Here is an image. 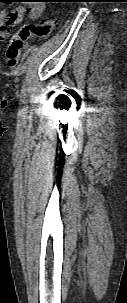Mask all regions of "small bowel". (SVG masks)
Returning a JSON list of instances; mask_svg holds the SVG:
<instances>
[{"label":"small bowel","instance_id":"c3829d8e","mask_svg":"<svg viewBox=\"0 0 127 303\" xmlns=\"http://www.w3.org/2000/svg\"><path fill=\"white\" fill-rule=\"evenodd\" d=\"M27 6H19L16 10L11 12L0 13V40L8 38L10 35V28L19 25L24 16L28 14L32 20L39 19L43 13L44 5L39 0L27 1Z\"/></svg>","mask_w":127,"mask_h":303}]
</instances>
